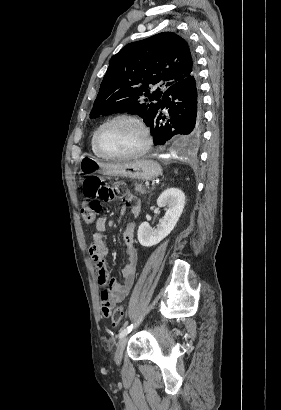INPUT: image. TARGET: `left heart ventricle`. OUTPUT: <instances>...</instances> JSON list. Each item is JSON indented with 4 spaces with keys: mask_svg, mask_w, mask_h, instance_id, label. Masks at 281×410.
Segmentation results:
<instances>
[{
    "mask_svg": "<svg viewBox=\"0 0 281 410\" xmlns=\"http://www.w3.org/2000/svg\"><path fill=\"white\" fill-rule=\"evenodd\" d=\"M144 143L140 128L131 121L119 120L106 126L100 134L102 148L113 155L136 152Z\"/></svg>",
    "mask_w": 281,
    "mask_h": 410,
    "instance_id": "obj_1",
    "label": "left heart ventricle"
}]
</instances>
